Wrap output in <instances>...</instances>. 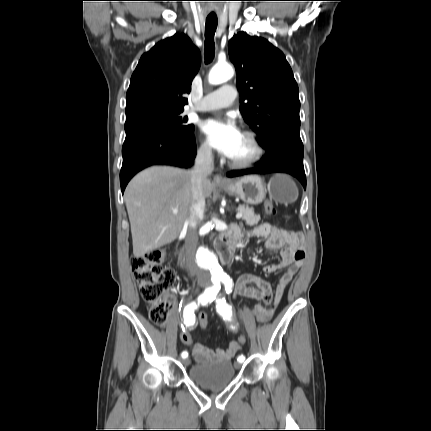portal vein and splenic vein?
I'll return each mask as SVG.
<instances>
[{
  "instance_id": "portal-vein-and-splenic-vein-1",
  "label": "portal vein and splenic vein",
  "mask_w": 431,
  "mask_h": 431,
  "mask_svg": "<svg viewBox=\"0 0 431 431\" xmlns=\"http://www.w3.org/2000/svg\"><path fill=\"white\" fill-rule=\"evenodd\" d=\"M172 212H173L174 214H177V213H178V210H177V209H173V210H172ZM242 216H243V213H242V212H238V213L236 214V218H237V219H240Z\"/></svg>"
}]
</instances>
